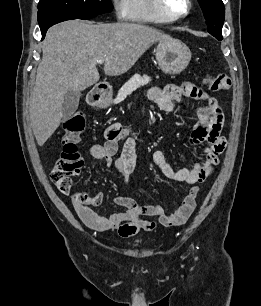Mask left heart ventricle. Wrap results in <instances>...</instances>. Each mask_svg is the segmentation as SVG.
Returning <instances> with one entry per match:
<instances>
[{
  "instance_id": "b2bd125f",
  "label": "left heart ventricle",
  "mask_w": 261,
  "mask_h": 306,
  "mask_svg": "<svg viewBox=\"0 0 261 306\" xmlns=\"http://www.w3.org/2000/svg\"><path fill=\"white\" fill-rule=\"evenodd\" d=\"M166 4L170 12L173 14L183 13L187 8L185 0H166Z\"/></svg>"
}]
</instances>
